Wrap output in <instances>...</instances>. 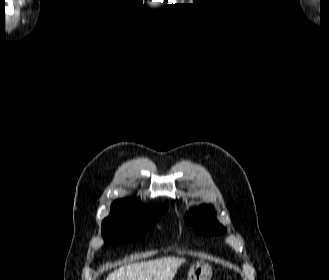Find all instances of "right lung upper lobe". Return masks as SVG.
I'll use <instances>...</instances> for the list:
<instances>
[{"mask_svg": "<svg viewBox=\"0 0 329 280\" xmlns=\"http://www.w3.org/2000/svg\"><path fill=\"white\" fill-rule=\"evenodd\" d=\"M112 206H122V207H127V208H131L133 210L139 211V212H145V213H149V212H153L157 209L160 208H153L152 210H145L142 206H140L136 201L131 200V199H123V200H117L115 201ZM167 207V205H164L163 208Z\"/></svg>", "mask_w": 329, "mask_h": 280, "instance_id": "1", "label": "right lung upper lobe"}]
</instances>
